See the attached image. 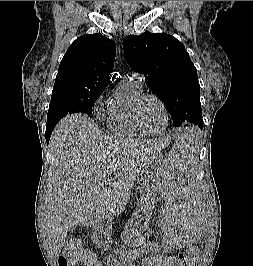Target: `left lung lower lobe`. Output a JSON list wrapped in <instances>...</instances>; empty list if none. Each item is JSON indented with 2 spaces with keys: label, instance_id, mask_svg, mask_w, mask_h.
Masks as SVG:
<instances>
[{
  "label": "left lung lower lobe",
  "instance_id": "0a47b994",
  "mask_svg": "<svg viewBox=\"0 0 253 266\" xmlns=\"http://www.w3.org/2000/svg\"><path fill=\"white\" fill-rule=\"evenodd\" d=\"M201 129H203V124L201 126H199Z\"/></svg>",
  "mask_w": 253,
  "mask_h": 266
}]
</instances>
